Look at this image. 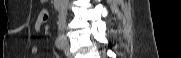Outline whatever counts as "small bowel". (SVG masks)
Wrapping results in <instances>:
<instances>
[{"label": "small bowel", "instance_id": "obj_1", "mask_svg": "<svg viewBox=\"0 0 181 58\" xmlns=\"http://www.w3.org/2000/svg\"><path fill=\"white\" fill-rule=\"evenodd\" d=\"M48 19V13L46 10H42L40 11V14H39V17L37 19V23H36V30L39 31L40 30V27H41V24L44 23L46 20ZM39 52V47L38 46H34L32 48V53L33 54H37Z\"/></svg>", "mask_w": 181, "mask_h": 58}]
</instances>
